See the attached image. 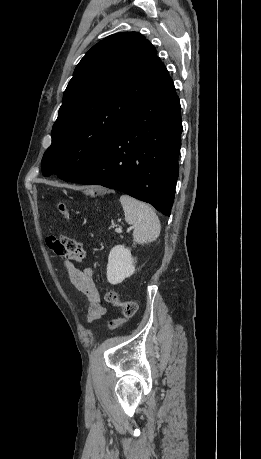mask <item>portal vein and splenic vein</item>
<instances>
[{
	"label": "portal vein and splenic vein",
	"instance_id": "18ae733b",
	"mask_svg": "<svg viewBox=\"0 0 261 459\" xmlns=\"http://www.w3.org/2000/svg\"><path fill=\"white\" fill-rule=\"evenodd\" d=\"M115 231H116L117 233H122V229H121V228H116Z\"/></svg>",
	"mask_w": 261,
	"mask_h": 459
}]
</instances>
